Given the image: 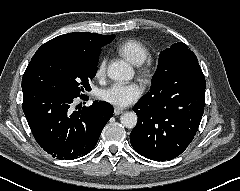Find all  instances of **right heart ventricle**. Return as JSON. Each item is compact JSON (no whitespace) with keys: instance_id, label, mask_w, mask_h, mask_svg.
<instances>
[{"instance_id":"obj_1","label":"right heart ventricle","mask_w":240,"mask_h":191,"mask_svg":"<svg viewBox=\"0 0 240 191\" xmlns=\"http://www.w3.org/2000/svg\"><path fill=\"white\" fill-rule=\"evenodd\" d=\"M117 52L133 64H142L149 56L148 47L135 39H127L117 46Z\"/></svg>"}]
</instances>
